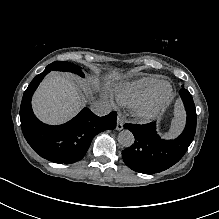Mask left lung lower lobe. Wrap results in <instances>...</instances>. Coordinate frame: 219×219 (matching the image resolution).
<instances>
[{
	"label": "left lung lower lobe",
	"instance_id": "obj_1",
	"mask_svg": "<svg viewBox=\"0 0 219 219\" xmlns=\"http://www.w3.org/2000/svg\"><path fill=\"white\" fill-rule=\"evenodd\" d=\"M180 95L187 112V123L176 139H162L156 132L154 122L124 125L135 137V143L122 151L123 160L129 168L143 174H155L170 168L184 156L194 139L196 110L188 90L181 89Z\"/></svg>",
	"mask_w": 219,
	"mask_h": 219
}]
</instances>
